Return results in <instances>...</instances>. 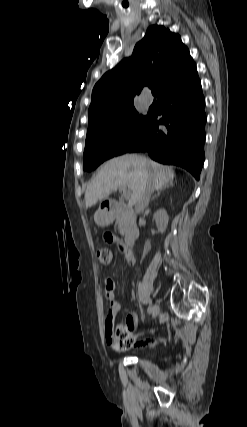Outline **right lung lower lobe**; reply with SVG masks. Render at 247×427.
Returning a JSON list of instances; mask_svg holds the SVG:
<instances>
[{
	"mask_svg": "<svg viewBox=\"0 0 247 427\" xmlns=\"http://www.w3.org/2000/svg\"><path fill=\"white\" fill-rule=\"evenodd\" d=\"M158 115L150 121L142 139L127 152H148L160 163L188 170L197 180L205 160V99L196 67L175 81L158 97ZM164 125L165 130H160Z\"/></svg>",
	"mask_w": 247,
	"mask_h": 427,
	"instance_id": "98d812e1",
	"label": "right lung lower lobe"
}]
</instances>
